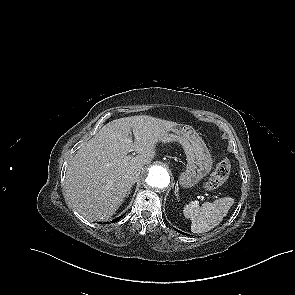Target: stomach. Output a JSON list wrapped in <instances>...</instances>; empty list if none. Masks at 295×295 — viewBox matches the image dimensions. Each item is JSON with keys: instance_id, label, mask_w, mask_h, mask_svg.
Listing matches in <instances>:
<instances>
[{"instance_id": "obj_1", "label": "stomach", "mask_w": 295, "mask_h": 295, "mask_svg": "<svg viewBox=\"0 0 295 295\" xmlns=\"http://www.w3.org/2000/svg\"><path fill=\"white\" fill-rule=\"evenodd\" d=\"M161 140L178 141L184 148L187 166L186 170L179 175V184L182 188L194 187L210 173L213 163L211 155L206 144L193 128L177 125L166 131Z\"/></svg>"}]
</instances>
